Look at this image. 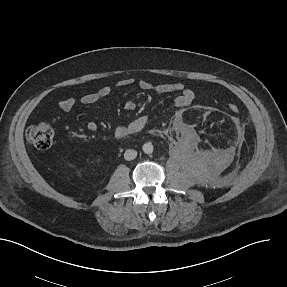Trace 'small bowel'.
<instances>
[{"label": "small bowel", "instance_id": "small-bowel-1", "mask_svg": "<svg viewBox=\"0 0 287 287\" xmlns=\"http://www.w3.org/2000/svg\"><path fill=\"white\" fill-rule=\"evenodd\" d=\"M133 79L125 78L117 82L116 86L118 88H123L131 85ZM139 87L144 91H152L155 93H174L176 97L174 99V104L176 107L183 108L190 105L194 98V91L187 88L182 82H173L168 84H157L154 85L148 81L141 80L139 82ZM112 93L111 87H102L97 92L87 93L83 95L80 99L73 97L63 99L59 102L58 106L61 111H70L78 102L84 104H91L99 101L100 99L108 97ZM136 108V104L133 101H127L125 103V109L132 111ZM149 118L147 115H142L131 121L127 125H116L113 128V135L117 139L126 138L129 135L137 134L144 130L148 124ZM87 128L90 131H95L97 129V124L95 122H89Z\"/></svg>", "mask_w": 287, "mask_h": 287}]
</instances>
